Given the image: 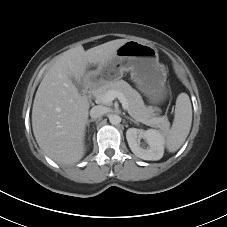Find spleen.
<instances>
[{"label":"spleen","instance_id":"3e777b00","mask_svg":"<svg viewBox=\"0 0 227 227\" xmlns=\"http://www.w3.org/2000/svg\"><path fill=\"white\" fill-rule=\"evenodd\" d=\"M192 123V106L186 93L178 95L175 116L170 130L165 134L166 148L169 152L177 151L185 142Z\"/></svg>","mask_w":227,"mask_h":227}]
</instances>
